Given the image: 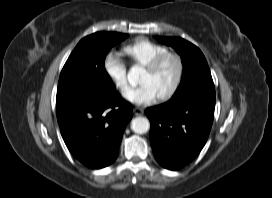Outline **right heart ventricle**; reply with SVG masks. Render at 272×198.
Listing matches in <instances>:
<instances>
[{
	"mask_svg": "<svg viewBox=\"0 0 272 198\" xmlns=\"http://www.w3.org/2000/svg\"><path fill=\"white\" fill-rule=\"evenodd\" d=\"M168 48L147 38H138L126 44L123 52L137 65L146 66L158 55L167 52Z\"/></svg>",
	"mask_w": 272,
	"mask_h": 198,
	"instance_id": "e07e8e85",
	"label": "right heart ventricle"
}]
</instances>
